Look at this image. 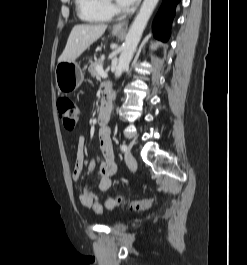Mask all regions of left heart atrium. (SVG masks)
I'll return each mask as SVG.
<instances>
[{
  "label": "left heart atrium",
  "mask_w": 247,
  "mask_h": 265,
  "mask_svg": "<svg viewBox=\"0 0 247 265\" xmlns=\"http://www.w3.org/2000/svg\"><path fill=\"white\" fill-rule=\"evenodd\" d=\"M118 5L122 8H128L134 5L137 0H116Z\"/></svg>",
  "instance_id": "1"
}]
</instances>
